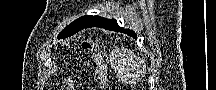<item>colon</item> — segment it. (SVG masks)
Returning a JSON list of instances; mask_svg holds the SVG:
<instances>
[{
	"label": "colon",
	"mask_w": 216,
	"mask_h": 90,
	"mask_svg": "<svg viewBox=\"0 0 216 90\" xmlns=\"http://www.w3.org/2000/svg\"><path fill=\"white\" fill-rule=\"evenodd\" d=\"M82 46L91 52L94 67V78L97 82L98 89H106L108 85L107 69L104 65L101 53L97 49L91 47L88 42H83Z\"/></svg>",
	"instance_id": "colon-1"
}]
</instances>
